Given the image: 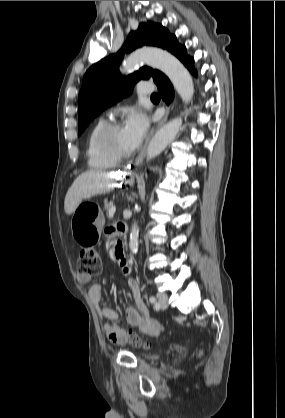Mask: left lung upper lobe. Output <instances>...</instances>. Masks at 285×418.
Listing matches in <instances>:
<instances>
[{
	"instance_id": "1",
	"label": "left lung upper lobe",
	"mask_w": 285,
	"mask_h": 418,
	"mask_svg": "<svg viewBox=\"0 0 285 418\" xmlns=\"http://www.w3.org/2000/svg\"><path fill=\"white\" fill-rule=\"evenodd\" d=\"M177 41L174 35L161 24L141 23L135 32H131L123 47L92 65L85 73L78 98V116L80 135L88 124L102 111L128 96L136 82L153 78L154 82L161 74L158 70L142 67L139 71L123 77L119 64L126 51L131 52L144 45L157 46L170 50Z\"/></svg>"
}]
</instances>
